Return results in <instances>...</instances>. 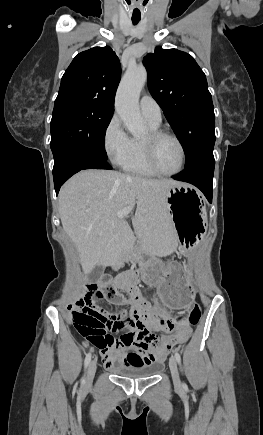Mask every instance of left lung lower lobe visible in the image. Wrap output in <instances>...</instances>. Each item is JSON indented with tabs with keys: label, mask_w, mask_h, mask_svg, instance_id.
I'll return each mask as SVG.
<instances>
[{
	"label": "left lung lower lobe",
	"mask_w": 263,
	"mask_h": 435,
	"mask_svg": "<svg viewBox=\"0 0 263 435\" xmlns=\"http://www.w3.org/2000/svg\"><path fill=\"white\" fill-rule=\"evenodd\" d=\"M215 160L213 151L205 152L185 167L184 173L173 176V179L185 181L199 188L209 202H212V184Z\"/></svg>",
	"instance_id": "obj_1"
}]
</instances>
